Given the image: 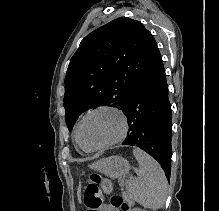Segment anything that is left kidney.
Wrapping results in <instances>:
<instances>
[{
    "instance_id": "1",
    "label": "left kidney",
    "mask_w": 219,
    "mask_h": 211,
    "mask_svg": "<svg viewBox=\"0 0 219 211\" xmlns=\"http://www.w3.org/2000/svg\"><path fill=\"white\" fill-rule=\"evenodd\" d=\"M133 211H138V209H136V207H134Z\"/></svg>"
}]
</instances>
